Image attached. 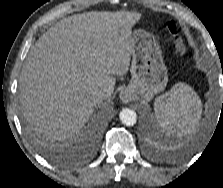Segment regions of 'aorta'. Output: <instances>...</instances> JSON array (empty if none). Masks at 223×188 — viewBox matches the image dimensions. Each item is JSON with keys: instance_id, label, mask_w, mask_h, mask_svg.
Masks as SVG:
<instances>
[{"instance_id": "1", "label": "aorta", "mask_w": 223, "mask_h": 188, "mask_svg": "<svg viewBox=\"0 0 223 188\" xmlns=\"http://www.w3.org/2000/svg\"><path fill=\"white\" fill-rule=\"evenodd\" d=\"M121 122L126 126H133L137 121L136 113L128 108H124L121 110L119 114Z\"/></svg>"}]
</instances>
